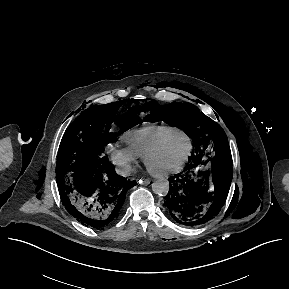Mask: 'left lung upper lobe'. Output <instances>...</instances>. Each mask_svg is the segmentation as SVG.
<instances>
[{
  "label": "left lung upper lobe",
  "instance_id": "left-lung-upper-lobe-1",
  "mask_svg": "<svg viewBox=\"0 0 289 289\" xmlns=\"http://www.w3.org/2000/svg\"><path fill=\"white\" fill-rule=\"evenodd\" d=\"M148 122L164 121L180 125L192 138L191 157L215 163L219 168L231 166V152L224 130L190 103H169L161 106L152 100L141 107ZM190 157V158H191Z\"/></svg>",
  "mask_w": 289,
  "mask_h": 289
}]
</instances>
